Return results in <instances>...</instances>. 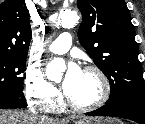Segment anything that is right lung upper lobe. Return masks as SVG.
Listing matches in <instances>:
<instances>
[{"label": "right lung upper lobe", "instance_id": "cb5924a9", "mask_svg": "<svg viewBox=\"0 0 145 124\" xmlns=\"http://www.w3.org/2000/svg\"><path fill=\"white\" fill-rule=\"evenodd\" d=\"M31 36L25 0H6L1 3L0 54L27 57Z\"/></svg>", "mask_w": 145, "mask_h": 124}]
</instances>
